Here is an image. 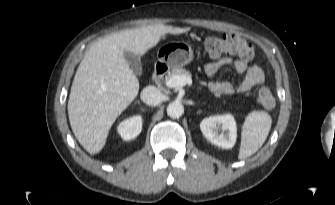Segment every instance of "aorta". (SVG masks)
Instances as JSON below:
<instances>
[{"instance_id": "1", "label": "aorta", "mask_w": 335, "mask_h": 205, "mask_svg": "<svg viewBox=\"0 0 335 205\" xmlns=\"http://www.w3.org/2000/svg\"><path fill=\"white\" fill-rule=\"evenodd\" d=\"M167 115L171 118H179L184 113V107L180 102L174 101L167 106Z\"/></svg>"}]
</instances>
